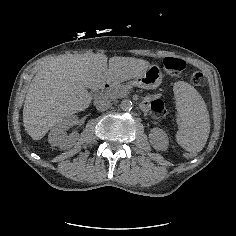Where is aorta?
Segmentation results:
<instances>
[{
    "label": "aorta",
    "instance_id": "1",
    "mask_svg": "<svg viewBox=\"0 0 236 236\" xmlns=\"http://www.w3.org/2000/svg\"><path fill=\"white\" fill-rule=\"evenodd\" d=\"M120 109L123 111H129L132 109V102L128 99H124L120 103Z\"/></svg>",
    "mask_w": 236,
    "mask_h": 236
}]
</instances>
